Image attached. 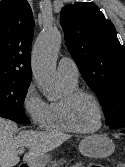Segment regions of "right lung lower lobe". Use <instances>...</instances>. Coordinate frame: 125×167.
<instances>
[{"mask_svg": "<svg viewBox=\"0 0 125 167\" xmlns=\"http://www.w3.org/2000/svg\"><path fill=\"white\" fill-rule=\"evenodd\" d=\"M0 117L7 118L18 123H30L29 119L25 116V114L15 112L2 106H0Z\"/></svg>", "mask_w": 125, "mask_h": 167, "instance_id": "1", "label": "right lung lower lobe"}]
</instances>
